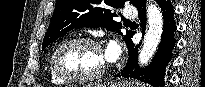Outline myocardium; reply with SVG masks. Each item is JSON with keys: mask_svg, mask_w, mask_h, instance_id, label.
Instances as JSON below:
<instances>
[{"mask_svg": "<svg viewBox=\"0 0 205 87\" xmlns=\"http://www.w3.org/2000/svg\"><path fill=\"white\" fill-rule=\"evenodd\" d=\"M77 43H85V44L92 45L95 48L99 49L104 54L101 44L92 37L81 36V37H74V38L67 39L57 46V48L54 50L51 56V67L53 72L56 74V76H58L60 79L64 80L65 82L89 83L100 79L104 75L107 68V61L105 58V54H104V61L101 68L93 74L74 75L61 70L58 62L59 54L65 47Z\"/></svg>", "mask_w": 205, "mask_h": 87, "instance_id": "1", "label": "myocardium"}]
</instances>
